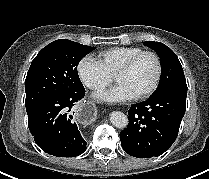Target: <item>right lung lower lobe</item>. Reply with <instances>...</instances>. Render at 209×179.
Returning <instances> with one entry per match:
<instances>
[{
  "mask_svg": "<svg viewBox=\"0 0 209 179\" xmlns=\"http://www.w3.org/2000/svg\"><path fill=\"white\" fill-rule=\"evenodd\" d=\"M84 95L85 89L56 95L27 113L29 130L43 151L57 157H75L86 150L87 143L70 113Z\"/></svg>",
  "mask_w": 209,
  "mask_h": 179,
  "instance_id": "obj_1",
  "label": "right lung lower lobe"
}]
</instances>
